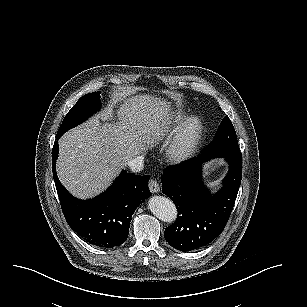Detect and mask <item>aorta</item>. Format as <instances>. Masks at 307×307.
Masks as SVG:
<instances>
[{"label":"aorta","instance_id":"aorta-1","mask_svg":"<svg viewBox=\"0 0 307 307\" xmlns=\"http://www.w3.org/2000/svg\"><path fill=\"white\" fill-rule=\"evenodd\" d=\"M147 209L158 219L166 222L174 221L177 215L174 203L161 195H152L147 201Z\"/></svg>","mask_w":307,"mask_h":307}]
</instances>
